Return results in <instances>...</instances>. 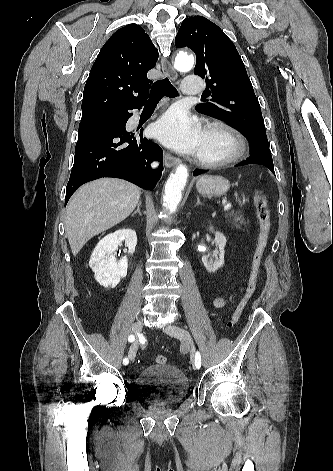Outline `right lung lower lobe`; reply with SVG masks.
<instances>
[{"label":"right lung lower lobe","instance_id":"98d812e1","mask_svg":"<svg viewBox=\"0 0 333 471\" xmlns=\"http://www.w3.org/2000/svg\"><path fill=\"white\" fill-rule=\"evenodd\" d=\"M143 104L80 122L65 205L82 184L101 177L124 179L147 190L155 187L163 169L162 149L143 138V129L139 134L125 128L132 116L129 110L140 109ZM153 161L160 162L156 170L150 167Z\"/></svg>","mask_w":333,"mask_h":471}]
</instances>
